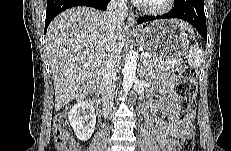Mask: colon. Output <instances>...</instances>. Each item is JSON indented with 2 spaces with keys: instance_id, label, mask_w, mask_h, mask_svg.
Listing matches in <instances>:
<instances>
[{
  "instance_id": "5ec220e1",
  "label": "colon",
  "mask_w": 231,
  "mask_h": 151,
  "mask_svg": "<svg viewBox=\"0 0 231 151\" xmlns=\"http://www.w3.org/2000/svg\"><path fill=\"white\" fill-rule=\"evenodd\" d=\"M176 92L185 117L193 118L196 107L197 82L196 72L192 67L185 66L182 69ZM53 136L57 151H80L78 143L71 137L67 129L65 114H61L55 119ZM194 146V134H187L181 139L179 151H193Z\"/></svg>"
}]
</instances>
